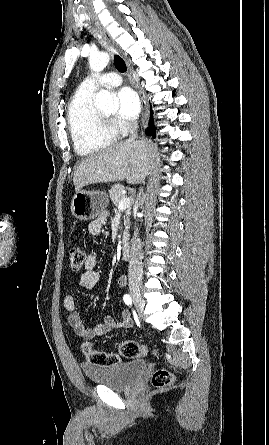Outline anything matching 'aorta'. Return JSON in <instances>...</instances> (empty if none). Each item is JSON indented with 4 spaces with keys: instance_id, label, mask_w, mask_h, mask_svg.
I'll list each match as a JSON object with an SVG mask.
<instances>
[{
    "instance_id": "762f6f07",
    "label": "aorta",
    "mask_w": 269,
    "mask_h": 445,
    "mask_svg": "<svg viewBox=\"0 0 269 445\" xmlns=\"http://www.w3.org/2000/svg\"><path fill=\"white\" fill-rule=\"evenodd\" d=\"M110 61L107 53H95L90 55L89 65L95 72L102 71ZM94 105L101 111H114L118 109L117 98L107 90H100L95 98Z\"/></svg>"
}]
</instances>
